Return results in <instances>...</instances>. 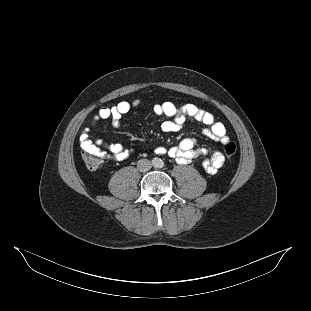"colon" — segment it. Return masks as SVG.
<instances>
[{
  "instance_id": "1",
  "label": "colon",
  "mask_w": 311,
  "mask_h": 311,
  "mask_svg": "<svg viewBox=\"0 0 311 311\" xmlns=\"http://www.w3.org/2000/svg\"><path fill=\"white\" fill-rule=\"evenodd\" d=\"M236 144L234 142H228L224 146V153L227 158H232L236 153ZM83 160L87 168L95 170L102 164V156L99 152L92 150H83L82 152Z\"/></svg>"
}]
</instances>
